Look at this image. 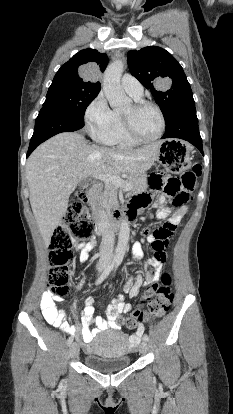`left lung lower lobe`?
<instances>
[{
	"label": "left lung lower lobe",
	"instance_id": "left-lung-lower-lobe-1",
	"mask_svg": "<svg viewBox=\"0 0 233 414\" xmlns=\"http://www.w3.org/2000/svg\"><path fill=\"white\" fill-rule=\"evenodd\" d=\"M165 123L166 131L162 139L179 138L186 140L197 147L203 154L202 139L198 130L194 101L181 105Z\"/></svg>",
	"mask_w": 233,
	"mask_h": 414
}]
</instances>
